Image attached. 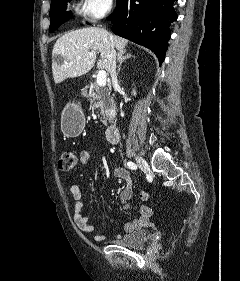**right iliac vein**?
<instances>
[{"label":"right iliac vein","instance_id":"1","mask_svg":"<svg viewBox=\"0 0 240 281\" xmlns=\"http://www.w3.org/2000/svg\"><path fill=\"white\" fill-rule=\"evenodd\" d=\"M136 161L139 165V167L143 170V171H147L149 166L148 163L140 156L136 157Z\"/></svg>","mask_w":240,"mask_h":281}]
</instances>
